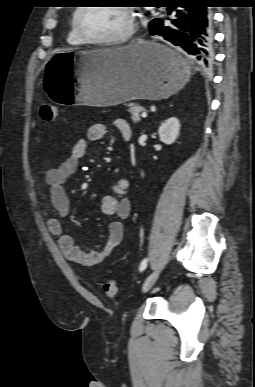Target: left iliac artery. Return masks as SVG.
<instances>
[{
    "label": "left iliac artery",
    "instance_id": "left-iliac-artery-1",
    "mask_svg": "<svg viewBox=\"0 0 255 387\" xmlns=\"http://www.w3.org/2000/svg\"><path fill=\"white\" fill-rule=\"evenodd\" d=\"M147 262H148V259L145 258L142 260L140 266H139V270L140 272H143L145 269H146V266H147Z\"/></svg>",
    "mask_w": 255,
    "mask_h": 387
}]
</instances>
